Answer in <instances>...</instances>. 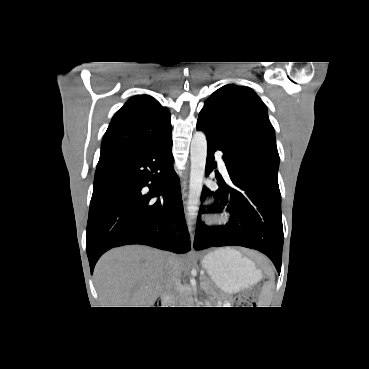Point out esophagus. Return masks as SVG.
Wrapping results in <instances>:
<instances>
[{
    "instance_id": "1",
    "label": "esophagus",
    "mask_w": 369,
    "mask_h": 369,
    "mask_svg": "<svg viewBox=\"0 0 369 369\" xmlns=\"http://www.w3.org/2000/svg\"><path fill=\"white\" fill-rule=\"evenodd\" d=\"M181 190H182V202L184 205V208H186V203H187V186L185 181H182L181 183ZM192 226L194 225V223L191 224Z\"/></svg>"
}]
</instances>
